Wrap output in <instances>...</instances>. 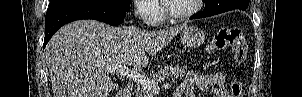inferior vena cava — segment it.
Returning a JSON list of instances; mask_svg holds the SVG:
<instances>
[{
    "label": "inferior vena cava",
    "instance_id": "inferior-vena-cava-1",
    "mask_svg": "<svg viewBox=\"0 0 302 97\" xmlns=\"http://www.w3.org/2000/svg\"><path fill=\"white\" fill-rule=\"evenodd\" d=\"M134 14H135V16H137L139 13H138V11H135Z\"/></svg>",
    "mask_w": 302,
    "mask_h": 97
}]
</instances>
